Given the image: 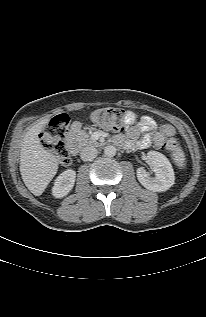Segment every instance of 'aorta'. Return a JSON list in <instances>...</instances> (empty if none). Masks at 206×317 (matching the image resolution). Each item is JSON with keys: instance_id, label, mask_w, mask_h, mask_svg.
Masks as SVG:
<instances>
[{"instance_id": "762f6f07", "label": "aorta", "mask_w": 206, "mask_h": 317, "mask_svg": "<svg viewBox=\"0 0 206 317\" xmlns=\"http://www.w3.org/2000/svg\"><path fill=\"white\" fill-rule=\"evenodd\" d=\"M116 147L113 145H108L104 148V153L108 157H113L116 155Z\"/></svg>"}]
</instances>
